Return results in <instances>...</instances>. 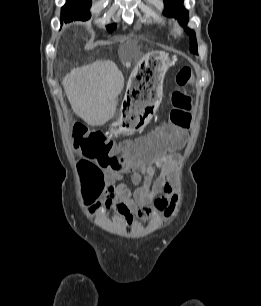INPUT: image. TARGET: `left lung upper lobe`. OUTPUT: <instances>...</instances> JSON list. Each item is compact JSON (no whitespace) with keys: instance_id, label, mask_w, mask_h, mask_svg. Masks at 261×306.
<instances>
[{"instance_id":"obj_1","label":"left lung upper lobe","mask_w":261,"mask_h":306,"mask_svg":"<svg viewBox=\"0 0 261 306\" xmlns=\"http://www.w3.org/2000/svg\"><path fill=\"white\" fill-rule=\"evenodd\" d=\"M164 3L165 14L177 18L180 24L184 26L190 38V51L198 54L195 33L193 30L187 28L188 11L183 7V0H164Z\"/></svg>"}]
</instances>
